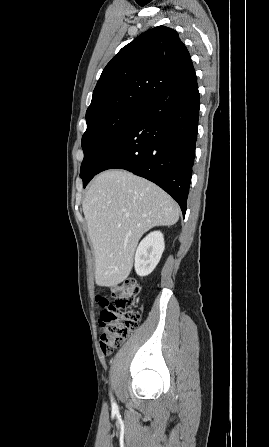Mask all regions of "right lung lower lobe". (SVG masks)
<instances>
[{
	"instance_id": "1",
	"label": "right lung lower lobe",
	"mask_w": 269,
	"mask_h": 447,
	"mask_svg": "<svg viewBox=\"0 0 269 447\" xmlns=\"http://www.w3.org/2000/svg\"><path fill=\"white\" fill-rule=\"evenodd\" d=\"M200 99L192 66L185 75L143 103V111L89 169L84 187L111 168L144 177L170 194L186 213L195 158Z\"/></svg>"
}]
</instances>
